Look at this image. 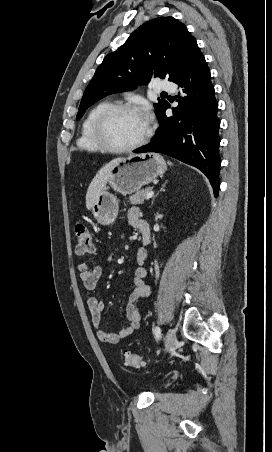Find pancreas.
<instances>
[{"mask_svg": "<svg viewBox=\"0 0 272 452\" xmlns=\"http://www.w3.org/2000/svg\"><path fill=\"white\" fill-rule=\"evenodd\" d=\"M152 190L151 187H147L143 190L136 192L135 194L128 197V202L132 205L142 204L146 199L147 194Z\"/></svg>", "mask_w": 272, "mask_h": 452, "instance_id": "pancreas-1", "label": "pancreas"}]
</instances>
